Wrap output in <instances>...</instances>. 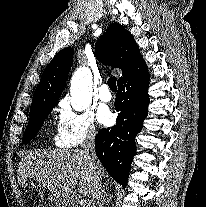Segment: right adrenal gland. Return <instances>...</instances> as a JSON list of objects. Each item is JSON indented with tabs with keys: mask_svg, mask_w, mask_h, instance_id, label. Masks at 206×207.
<instances>
[{
	"mask_svg": "<svg viewBox=\"0 0 206 207\" xmlns=\"http://www.w3.org/2000/svg\"><path fill=\"white\" fill-rule=\"evenodd\" d=\"M110 195L106 191H103L102 197H101V202H102V207L109 202Z\"/></svg>",
	"mask_w": 206,
	"mask_h": 207,
	"instance_id": "obj_1",
	"label": "right adrenal gland"
}]
</instances>
